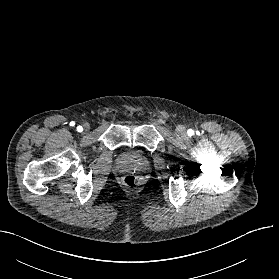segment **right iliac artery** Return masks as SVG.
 <instances>
[{"label": "right iliac artery", "mask_w": 279, "mask_h": 279, "mask_svg": "<svg viewBox=\"0 0 279 279\" xmlns=\"http://www.w3.org/2000/svg\"><path fill=\"white\" fill-rule=\"evenodd\" d=\"M77 130H78V132H82V130H83L82 126H78Z\"/></svg>", "instance_id": "82829eb1"}]
</instances>
